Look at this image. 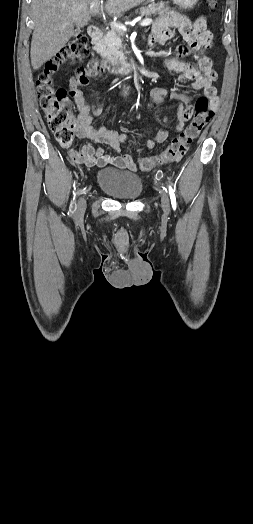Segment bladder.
Returning a JSON list of instances; mask_svg holds the SVG:
<instances>
[{"label":"bladder","instance_id":"1","mask_svg":"<svg viewBox=\"0 0 253 524\" xmlns=\"http://www.w3.org/2000/svg\"><path fill=\"white\" fill-rule=\"evenodd\" d=\"M98 185L116 200H135L143 191V181L137 173L109 168L99 172Z\"/></svg>","mask_w":253,"mask_h":524}]
</instances>
